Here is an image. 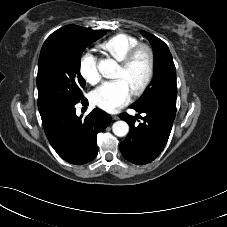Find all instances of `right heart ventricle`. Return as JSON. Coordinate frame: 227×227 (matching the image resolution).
<instances>
[{"mask_svg": "<svg viewBox=\"0 0 227 227\" xmlns=\"http://www.w3.org/2000/svg\"><path fill=\"white\" fill-rule=\"evenodd\" d=\"M139 43L137 37L127 33H117L99 45L106 56L121 61L127 52Z\"/></svg>", "mask_w": 227, "mask_h": 227, "instance_id": "right-heart-ventricle-1", "label": "right heart ventricle"}]
</instances>
